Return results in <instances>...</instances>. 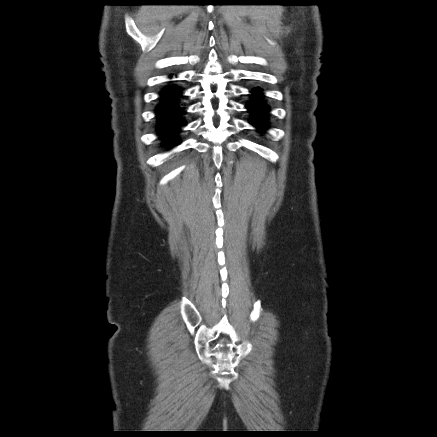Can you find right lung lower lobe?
<instances>
[{"label":"right lung lower lobe","instance_id":"obj_1","mask_svg":"<svg viewBox=\"0 0 437 437\" xmlns=\"http://www.w3.org/2000/svg\"><path fill=\"white\" fill-rule=\"evenodd\" d=\"M169 77L171 78L172 75ZM182 92V87L170 83L159 93V103L155 110L156 130L164 145H178L181 128L187 124L185 120L186 108L181 102Z\"/></svg>","mask_w":437,"mask_h":437}]
</instances>
